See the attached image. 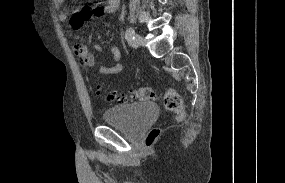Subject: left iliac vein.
<instances>
[{
    "instance_id": "obj_1",
    "label": "left iliac vein",
    "mask_w": 285,
    "mask_h": 183,
    "mask_svg": "<svg viewBox=\"0 0 285 183\" xmlns=\"http://www.w3.org/2000/svg\"><path fill=\"white\" fill-rule=\"evenodd\" d=\"M142 41H143L142 36H140L139 34H136L134 40L132 41V47H133V48H138V47H140Z\"/></svg>"
}]
</instances>
